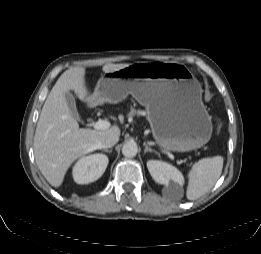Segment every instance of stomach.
<instances>
[{
	"label": "stomach",
	"instance_id": "1",
	"mask_svg": "<svg viewBox=\"0 0 261 254\" xmlns=\"http://www.w3.org/2000/svg\"><path fill=\"white\" fill-rule=\"evenodd\" d=\"M129 94L146 107L153 138L163 150L191 151L210 140L213 126L201 84L184 64L144 62L106 73L91 103L116 104Z\"/></svg>",
	"mask_w": 261,
	"mask_h": 254
}]
</instances>
